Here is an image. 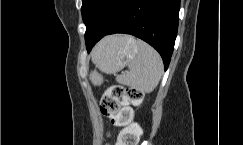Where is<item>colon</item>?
Returning a JSON list of instances; mask_svg holds the SVG:
<instances>
[{"instance_id": "5ec220e1", "label": "colon", "mask_w": 243, "mask_h": 145, "mask_svg": "<svg viewBox=\"0 0 243 145\" xmlns=\"http://www.w3.org/2000/svg\"><path fill=\"white\" fill-rule=\"evenodd\" d=\"M144 93L135 87L112 86L104 93L100 109L111 122L123 129L115 145H138L141 128L132 123V110L128 105L138 106L143 102Z\"/></svg>"}]
</instances>
